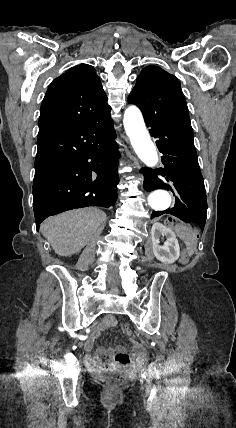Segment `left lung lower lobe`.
I'll return each mask as SVG.
<instances>
[{
    "label": "left lung lower lobe",
    "mask_w": 236,
    "mask_h": 428,
    "mask_svg": "<svg viewBox=\"0 0 236 428\" xmlns=\"http://www.w3.org/2000/svg\"><path fill=\"white\" fill-rule=\"evenodd\" d=\"M162 156L164 169L143 168L144 189H165L175 195V205L164 211H153L151 219L164 213L203 230L206 223L207 198L198 164L193 133L163 120H145Z\"/></svg>",
    "instance_id": "left-lung-lower-lobe-1"
}]
</instances>
